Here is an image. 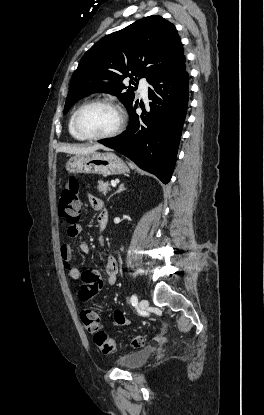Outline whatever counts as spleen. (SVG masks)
<instances>
[{"label": "spleen", "mask_w": 264, "mask_h": 415, "mask_svg": "<svg viewBox=\"0 0 264 415\" xmlns=\"http://www.w3.org/2000/svg\"><path fill=\"white\" fill-rule=\"evenodd\" d=\"M128 164L132 169H134V165L132 163H128Z\"/></svg>", "instance_id": "obj_1"}]
</instances>
